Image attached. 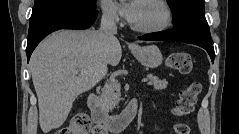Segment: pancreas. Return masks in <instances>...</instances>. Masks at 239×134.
<instances>
[{
    "instance_id": "obj_1",
    "label": "pancreas",
    "mask_w": 239,
    "mask_h": 134,
    "mask_svg": "<svg viewBox=\"0 0 239 134\" xmlns=\"http://www.w3.org/2000/svg\"><path fill=\"white\" fill-rule=\"evenodd\" d=\"M148 84L152 85L155 90H164L168 86V82L160 80L153 74H148ZM120 100V84L117 81H112L106 84L102 90L101 102L107 109H113Z\"/></svg>"
}]
</instances>
